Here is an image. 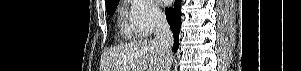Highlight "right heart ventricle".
<instances>
[{
	"mask_svg": "<svg viewBox=\"0 0 301 71\" xmlns=\"http://www.w3.org/2000/svg\"><path fill=\"white\" fill-rule=\"evenodd\" d=\"M122 29L124 33L129 37L131 29L129 24L124 19H122Z\"/></svg>",
	"mask_w": 301,
	"mask_h": 71,
	"instance_id": "obj_1",
	"label": "right heart ventricle"
}]
</instances>
